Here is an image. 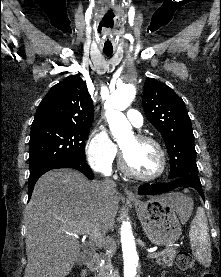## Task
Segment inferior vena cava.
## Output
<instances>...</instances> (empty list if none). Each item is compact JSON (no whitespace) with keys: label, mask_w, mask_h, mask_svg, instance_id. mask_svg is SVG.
<instances>
[{"label":"inferior vena cava","mask_w":221,"mask_h":277,"mask_svg":"<svg viewBox=\"0 0 221 277\" xmlns=\"http://www.w3.org/2000/svg\"><path fill=\"white\" fill-rule=\"evenodd\" d=\"M105 192L114 191L116 184L113 180L106 178L103 182Z\"/></svg>","instance_id":"obj_1"}]
</instances>
